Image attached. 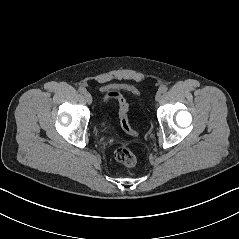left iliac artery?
<instances>
[{
	"label": "left iliac artery",
	"mask_w": 239,
	"mask_h": 239,
	"mask_svg": "<svg viewBox=\"0 0 239 239\" xmlns=\"http://www.w3.org/2000/svg\"><path fill=\"white\" fill-rule=\"evenodd\" d=\"M167 90H168V87L166 85H163L162 87H160L161 93H165Z\"/></svg>",
	"instance_id": "44dca946"
}]
</instances>
